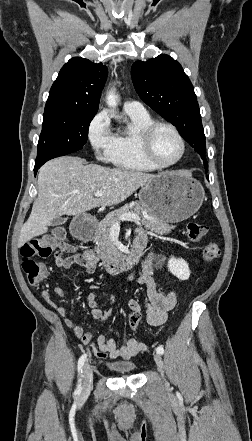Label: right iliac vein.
Returning <instances> with one entry per match:
<instances>
[{"label": "right iliac vein", "instance_id": "right-iliac-vein-1", "mask_svg": "<svg viewBox=\"0 0 252 441\" xmlns=\"http://www.w3.org/2000/svg\"><path fill=\"white\" fill-rule=\"evenodd\" d=\"M93 384V371L91 366L87 363L84 366V374H83V388L81 393V398L87 397L92 389Z\"/></svg>", "mask_w": 252, "mask_h": 441}]
</instances>
